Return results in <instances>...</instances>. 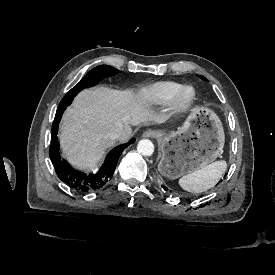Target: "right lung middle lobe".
I'll return each instance as SVG.
<instances>
[{
    "instance_id": "dd1d6c3e",
    "label": "right lung middle lobe",
    "mask_w": 275,
    "mask_h": 275,
    "mask_svg": "<svg viewBox=\"0 0 275 275\" xmlns=\"http://www.w3.org/2000/svg\"><path fill=\"white\" fill-rule=\"evenodd\" d=\"M119 72V70L108 66L101 65L93 68L91 71L87 73L86 76L82 78V80L75 85L61 101H72L73 98L84 88L91 87L95 85L98 81H100L103 77L109 75H115Z\"/></svg>"
}]
</instances>
